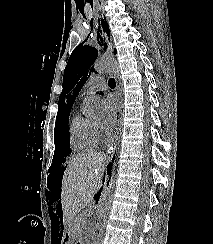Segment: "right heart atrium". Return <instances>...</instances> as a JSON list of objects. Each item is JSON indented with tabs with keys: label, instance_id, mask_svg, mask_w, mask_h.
<instances>
[{
	"label": "right heart atrium",
	"instance_id": "1",
	"mask_svg": "<svg viewBox=\"0 0 213 244\" xmlns=\"http://www.w3.org/2000/svg\"><path fill=\"white\" fill-rule=\"evenodd\" d=\"M95 127H96V130H97L98 134L100 135V134H101V132H102V127H101V125H100V124L95 123Z\"/></svg>",
	"mask_w": 213,
	"mask_h": 244
}]
</instances>
